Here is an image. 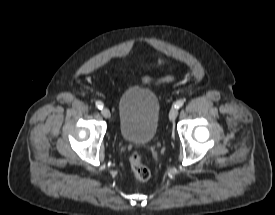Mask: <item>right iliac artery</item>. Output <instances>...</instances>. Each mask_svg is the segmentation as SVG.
<instances>
[{
    "label": "right iliac artery",
    "mask_w": 275,
    "mask_h": 215,
    "mask_svg": "<svg viewBox=\"0 0 275 215\" xmlns=\"http://www.w3.org/2000/svg\"><path fill=\"white\" fill-rule=\"evenodd\" d=\"M96 106L99 108V109H102L103 108V103L101 101H96Z\"/></svg>",
    "instance_id": "1"
}]
</instances>
